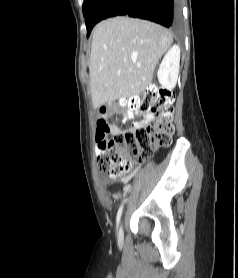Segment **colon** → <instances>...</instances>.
I'll use <instances>...</instances> for the list:
<instances>
[{
	"label": "colon",
	"mask_w": 238,
	"mask_h": 278,
	"mask_svg": "<svg viewBox=\"0 0 238 278\" xmlns=\"http://www.w3.org/2000/svg\"><path fill=\"white\" fill-rule=\"evenodd\" d=\"M121 104L149 113L153 121L147 127L115 133L111 139H106L108 124L102 119L97 121L96 138L102 149L98 164L111 177L120 176L131 166L149 159L155 148L168 146L174 133L172 92L148 89L142 95L122 100Z\"/></svg>",
	"instance_id": "colon-1"
}]
</instances>
